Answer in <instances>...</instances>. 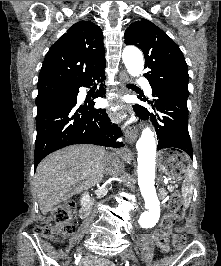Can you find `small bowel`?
<instances>
[{
    "instance_id": "c3829d8e",
    "label": "small bowel",
    "mask_w": 221,
    "mask_h": 266,
    "mask_svg": "<svg viewBox=\"0 0 221 266\" xmlns=\"http://www.w3.org/2000/svg\"><path fill=\"white\" fill-rule=\"evenodd\" d=\"M178 231H180V229H178ZM157 245L159 246V248L166 252L168 251V246H167V242L166 243H161L158 241V239L156 237H154ZM86 266H115L114 263L108 259H94V258H89L85 264Z\"/></svg>"
}]
</instances>
